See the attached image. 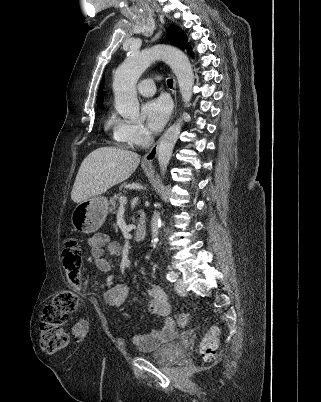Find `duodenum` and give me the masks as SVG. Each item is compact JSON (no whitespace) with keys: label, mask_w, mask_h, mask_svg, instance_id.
Wrapping results in <instances>:
<instances>
[{"label":"duodenum","mask_w":321,"mask_h":402,"mask_svg":"<svg viewBox=\"0 0 321 402\" xmlns=\"http://www.w3.org/2000/svg\"><path fill=\"white\" fill-rule=\"evenodd\" d=\"M136 219H137V227L135 230L134 238L137 242H141L144 240L147 233L146 216L144 213L139 212L137 214Z\"/></svg>","instance_id":"duodenum-1"}]
</instances>
